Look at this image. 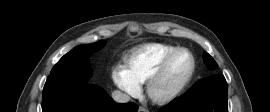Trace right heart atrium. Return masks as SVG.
I'll use <instances>...</instances> for the list:
<instances>
[{
	"label": "right heart atrium",
	"mask_w": 270,
	"mask_h": 112,
	"mask_svg": "<svg viewBox=\"0 0 270 112\" xmlns=\"http://www.w3.org/2000/svg\"><path fill=\"white\" fill-rule=\"evenodd\" d=\"M112 79L116 86L131 96H136L140 92V85L129 75L125 67L117 65L112 70Z\"/></svg>",
	"instance_id": "1"
}]
</instances>
